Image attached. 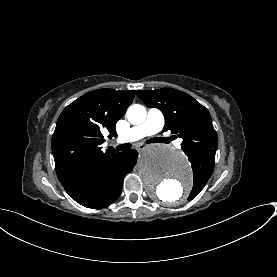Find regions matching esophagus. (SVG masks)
Instances as JSON below:
<instances>
[{
	"label": "esophagus",
	"instance_id": "esophagus-1",
	"mask_svg": "<svg viewBox=\"0 0 277 277\" xmlns=\"http://www.w3.org/2000/svg\"><path fill=\"white\" fill-rule=\"evenodd\" d=\"M146 146H145V144H139L138 146H137V148L139 149V150H142V149H144Z\"/></svg>",
	"mask_w": 277,
	"mask_h": 277
}]
</instances>
